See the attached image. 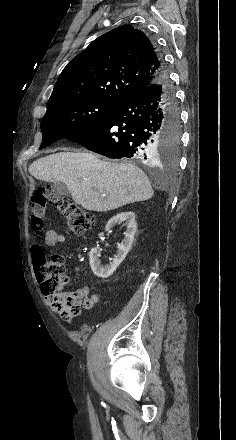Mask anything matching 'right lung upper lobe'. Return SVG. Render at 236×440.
Wrapping results in <instances>:
<instances>
[{
  "label": "right lung upper lobe",
  "mask_w": 236,
  "mask_h": 440,
  "mask_svg": "<svg viewBox=\"0 0 236 440\" xmlns=\"http://www.w3.org/2000/svg\"><path fill=\"white\" fill-rule=\"evenodd\" d=\"M161 75L149 38L123 25L95 39L67 64L48 102L93 98L121 104Z\"/></svg>",
  "instance_id": "cb5924a9"
}]
</instances>
